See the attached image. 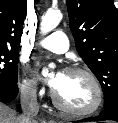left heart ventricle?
Returning <instances> with one entry per match:
<instances>
[{
    "mask_svg": "<svg viewBox=\"0 0 118 123\" xmlns=\"http://www.w3.org/2000/svg\"><path fill=\"white\" fill-rule=\"evenodd\" d=\"M63 104L75 109L91 106L95 100V91L85 75L64 73L63 81L55 90Z\"/></svg>",
    "mask_w": 118,
    "mask_h": 123,
    "instance_id": "1",
    "label": "left heart ventricle"
}]
</instances>
